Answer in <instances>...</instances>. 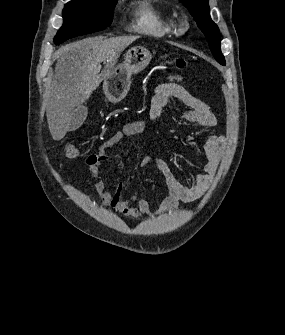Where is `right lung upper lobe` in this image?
Wrapping results in <instances>:
<instances>
[{"label": "right lung upper lobe", "instance_id": "obj_1", "mask_svg": "<svg viewBox=\"0 0 285 335\" xmlns=\"http://www.w3.org/2000/svg\"><path fill=\"white\" fill-rule=\"evenodd\" d=\"M102 1H104V2H111V3L116 2L117 3V0H102Z\"/></svg>", "mask_w": 285, "mask_h": 335}]
</instances>
